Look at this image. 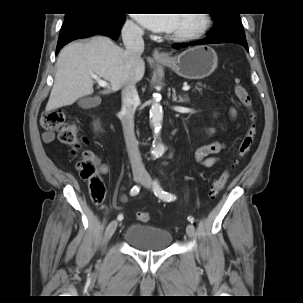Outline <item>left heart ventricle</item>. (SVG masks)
Returning a JSON list of instances; mask_svg holds the SVG:
<instances>
[{"label":"left heart ventricle","mask_w":303,"mask_h":303,"mask_svg":"<svg viewBox=\"0 0 303 303\" xmlns=\"http://www.w3.org/2000/svg\"><path fill=\"white\" fill-rule=\"evenodd\" d=\"M200 24V19L196 14H178L175 29L172 31H189L195 29Z\"/></svg>","instance_id":"left-heart-ventricle-1"}]
</instances>
